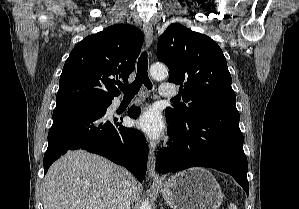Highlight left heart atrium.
Masks as SVG:
<instances>
[{"mask_svg": "<svg viewBox=\"0 0 299 209\" xmlns=\"http://www.w3.org/2000/svg\"><path fill=\"white\" fill-rule=\"evenodd\" d=\"M136 128L146 134L150 139H157L164 131V122L155 108H148L133 121Z\"/></svg>", "mask_w": 299, "mask_h": 209, "instance_id": "1", "label": "left heart atrium"}]
</instances>
